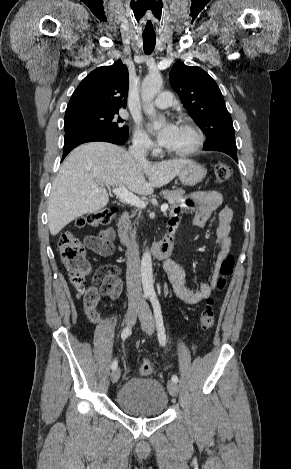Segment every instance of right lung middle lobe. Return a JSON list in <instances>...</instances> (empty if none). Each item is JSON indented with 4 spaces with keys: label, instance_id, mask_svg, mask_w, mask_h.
Returning <instances> with one entry per match:
<instances>
[{
    "label": "right lung middle lobe",
    "instance_id": "dd1d6c3e",
    "mask_svg": "<svg viewBox=\"0 0 291 469\" xmlns=\"http://www.w3.org/2000/svg\"><path fill=\"white\" fill-rule=\"evenodd\" d=\"M118 110L89 109L66 113L64 119L65 133L73 130H101L108 132L128 131L123 126V119L117 117Z\"/></svg>",
    "mask_w": 291,
    "mask_h": 469
}]
</instances>
